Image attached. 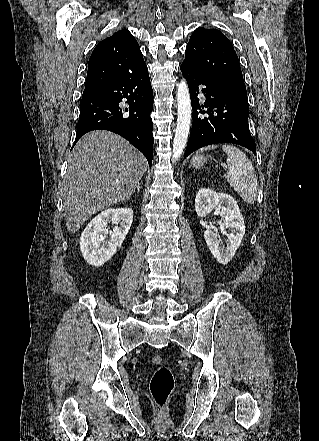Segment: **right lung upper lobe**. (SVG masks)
Instances as JSON below:
<instances>
[{"label":"right lung upper lobe","mask_w":319,"mask_h":441,"mask_svg":"<svg viewBox=\"0 0 319 441\" xmlns=\"http://www.w3.org/2000/svg\"><path fill=\"white\" fill-rule=\"evenodd\" d=\"M144 67L146 65L136 39L127 29L119 30L93 50L82 97Z\"/></svg>","instance_id":"right-lung-upper-lobe-1"}]
</instances>
